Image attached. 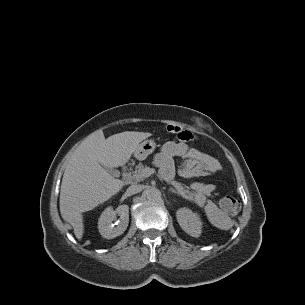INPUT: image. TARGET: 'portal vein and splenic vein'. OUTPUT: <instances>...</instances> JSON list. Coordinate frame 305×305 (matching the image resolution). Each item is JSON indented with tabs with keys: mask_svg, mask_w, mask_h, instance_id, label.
Returning <instances> with one entry per match:
<instances>
[{
	"mask_svg": "<svg viewBox=\"0 0 305 305\" xmlns=\"http://www.w3.org/2000/svg\"><path fill=\"white\" fill-rule=\"evenodd\" d=\"M153 173H154V169L147 167V168H145V169L142 171L141 177H142V178H147V177H149V176H150L151 174H153Z\"/></svg>",
	"mask_w": 305,
	"mask_h": 305,
	"instance_id": "18ae733b",
	"label": "portal vein and splenic vein"
}]
</instances>
